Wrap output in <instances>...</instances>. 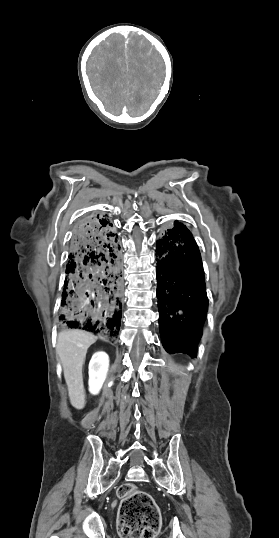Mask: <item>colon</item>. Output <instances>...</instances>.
<instances>
[{
    "label": "colon",
    "instance_id": "5ec220e1",
    "mask_svg": "<svg viewBox=\"0 0 279 538\" xmlns=\"http://www.w3.org/2000/svg\"><path fill=\"white\" fill-rule=\"evenodd\" d=\"M118 496L121 498L118 530L122 538H154L161 517L151 496L133 484L120 486Z\"/></svg>",
    "mask_w": 279,
    "mask_h": 538
}]
</instances>
